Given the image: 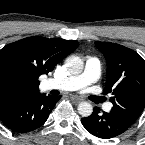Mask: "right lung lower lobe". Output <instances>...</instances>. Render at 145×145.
<instances>
[{
	"label": "right lung lower lobe",
	"mask_w": 145,
	"mask_h": 145,
	"mask_svg": "<svg viewBox=\"0 0 145 145\" xmlns=\"http://www.w3.org/2000/svg\"><path fill=\"white\" fill-rule=\"evenodd\" d=\"M59 99L60 96L38 94L34 97L2 103L0 121L13 132H31L46 122Z\"/></svg>",
	"instance_id": "obj_1"
}]
</instances>
